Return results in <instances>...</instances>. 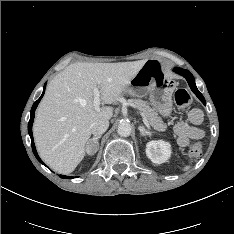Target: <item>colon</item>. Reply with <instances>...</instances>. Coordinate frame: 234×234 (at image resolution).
<instances>
[{
  "label": "colon",
  "instance_id": "1",
  "mask_svg": "<svg viewBox=\"0 0 234 234\" xmlns=\"http://www.w3.org/2000/svg\"><path fill=\"white\" fill-rule=\"evenodd\" d=\"M175 103L181 110H187L192 102L189 92L183 88L178 89L174 95ZM202 153V143L196 142L189 149V155L198 157Z\"/></svg>",
  "mask_w": 234,
  "mask_h": 234
}]
</instances>
